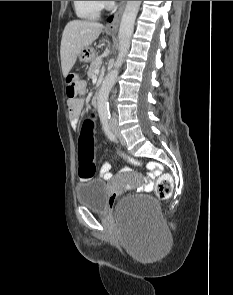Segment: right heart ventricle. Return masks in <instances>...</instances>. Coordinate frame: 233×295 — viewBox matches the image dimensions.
<instances>
[{
    "mask_svg": "<svg viewBox=\"0 0 233 295\" xmlns=\"http://www.w3.org/2000/svg\"><path fill=\"white\" fill-rule=\"evenodd\" d=\"M73 5L77 16L87 20L98 19L102 10L101 1H73Z\"/></svg>",
    "mask_w": 233,
    "mask_h": 295,
    "instance_id": "e07e8e85",
    "label": "right heart ventricle"
}]
</instances>
